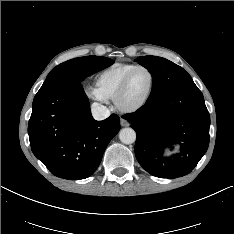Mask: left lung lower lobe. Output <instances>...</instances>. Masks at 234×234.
Segmentation results:
<instances>
[{"label":"left lung lower lobe","instance_id":"obj_1","mask_svg":"<svg viewBox=\"0 0 234 234\" xmlns=\"http://www.w3.org/2000/svg\"><path fill=\"white\" fill-rule=\"evenodd\" d=\"M124 118L136 131L135 155L140 165L159 178L190 173L209 145L210 116L192 79L174 85ZM180 145V154L163 156L166 147Z\"/></svg>","mask_w":234,"mask_h":234}]
</instances>
